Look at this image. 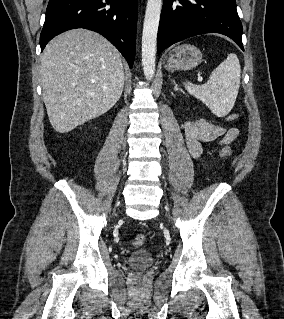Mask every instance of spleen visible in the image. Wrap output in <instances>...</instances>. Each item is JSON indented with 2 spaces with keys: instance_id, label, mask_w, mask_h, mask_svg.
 I'll list each match as a JSON object with an SVG mask.
<instances>
[{
  "instance_id": "obj_1",
  "label": "spleen",
  "mask_w": 284,
  "mask_h": 319,
  "mask_svg": "<svg viewBox=\"0 0 284 319\" xmlns=\"http://www.w3.org/2000/svg\"><path fill=\"white\" fill-rule=\"evenodd\" d=\"M241 69L237 55L230 53L227 58L214 69L206 84L186 83L189 94L202 101L214 115L224 117L234 106L239 87Z\"/></svg>"
}]
</instances>
